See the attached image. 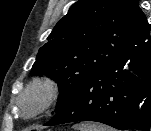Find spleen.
Returning a JSON list of instances; mask_svg holds the SVG:
<instances>
[{
	"label": "spleen",
	"mask_w": 151,
	"mask_h": 131,
	"mask_svg": "<svg viewBox=\"0 0 151 131\" xmlns=\"http://www.w3.org/2000/svg\"><path fill=\"white\" fill-rule=\"evenodd\" d=\"M77 131H115L113 128L98 123H81L73 126Z\"/></svg>",
	"instance_id": "spleen-1"
}]
</instances>
